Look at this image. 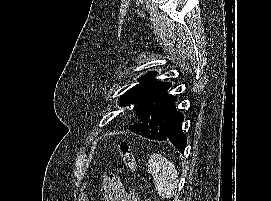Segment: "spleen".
I'll return each instance as SVG.
<instances>
[{"mask_svg": "<svg viewBox=\"0 0 271 201\" xmlns=\"http://www.w3.org/2000/svg\"><path fill=\"white\" fill-rule=\"evenodd\" d=\"M148 171L153 176L157 193L163 198H172L178 185V173L173 162L161 154H152Z\"/></svg>", "mask_w": 271, "mask_h": 201, "instance_id": "1", "label": "spleen"}]
</instances>
